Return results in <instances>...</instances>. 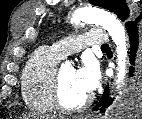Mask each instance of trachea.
<instances>
[{
	"label": "trachea",
	"instance_id": "obj_1",
	"mask_svg": "<svg viewBox=\"0 0 142 119\" xmlns=\"http://www.w3.org/2000/svg\"><path fill=\"white\" fill-rule=\"evenodd\" d=\"M101 48H102V49H109L110 47H109L108 44H105V45H102Z\"/></svg>",
	"mask_w": 142,
	"mask_h": 119
}]
</instances>
